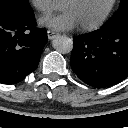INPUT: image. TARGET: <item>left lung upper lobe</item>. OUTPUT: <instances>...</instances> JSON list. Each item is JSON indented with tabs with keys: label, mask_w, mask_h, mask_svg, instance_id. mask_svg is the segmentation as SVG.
Listing matches in <instances>:
<instances>
[{
	"label": "left lung upper lobe",
	"mask_w": 128,
	"mask_h": 128,
	"mask_svg": "<svg viewBox=\"0 0 128 128\" xmlns=\"http://www.w3.org/2000/svg\"><path fill=\"white\" fill-rule=\"evenodd\" d=\"M126 16H128V0H121L119 9L108 22L116 21Z\"/></svg>",
	"instance_id": "5c2ea615"
}]
</instances>
